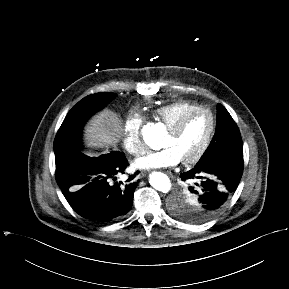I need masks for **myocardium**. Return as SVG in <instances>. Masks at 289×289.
Listing matches in <instances>:
<instances>
[{
    "mask_svg": "<svg viewBox=\"0 0 289 289\" xmlns=\"http://www.w3.org/2000/svg\"><path fill=\"white\" fill-rule=\"evenodd\" d=\"M198 113H207L210 116L211 119V128L208 133L207 138L205 139L204 143L201 145V147L198 149V151L192 155L191 157L181 160V162L184 165H191L197 163L206 153L208 148L210 147L212 140L215 136L216 133V128H217V119L215 114L208 108L205 107H198L192 110L187 111L184 113L173 125H171L168 128V132L171 133L172 135H177L179 134L182 129L184 128L185 124L187 121L195 114Z\"/></svg>",
    "mask_w": 289,
    "mask_h": 289,
    "instance_id": "f54148a6",
    "label": "myocardium"
}]
</instances>
